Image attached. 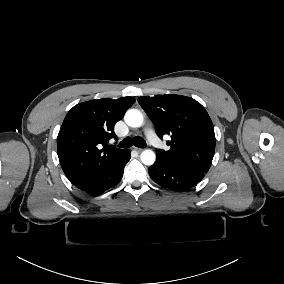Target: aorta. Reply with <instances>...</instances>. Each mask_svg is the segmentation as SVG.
<instances>
[{
  "label": "aorta",
  "mask_w": 284,
  "mask_h": 284,
  "mask_svg": "<svg viewBox=\"0 0 284 284\" xmlns=\"http://www.w3.org/2000/svg\"><path fill=\"white\" fill-rule=\"evenodd\" d=\"M124 120L128 126L133 127V128H138L142 126L144 117H143V114L139 110L130 109L125 113ZM140 159L143 164L150 166L154 164L156 160V155L152 150L146 149L141 153Z\"/></svg>",
  "instance_id": "1"
}]
</instances>
